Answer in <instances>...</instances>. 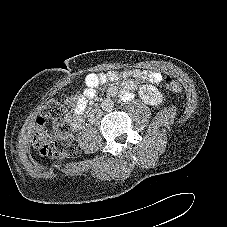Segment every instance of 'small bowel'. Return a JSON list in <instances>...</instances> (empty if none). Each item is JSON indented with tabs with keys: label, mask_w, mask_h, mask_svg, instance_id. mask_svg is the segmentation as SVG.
Listing matches in <instances>:
<instances>
[{
	"label": "small bowel",
	"mask_w": 227,
	"mask_h": 227,
	"mask_svg": "<svg viewBox=\"0 0 227 227\" xmlns=\"http://www.w3.org/2000/svg\"><path fill=\"white\" fill-rule=\"evenodd\" d=\"M132 78L129 81L123 83L120 93L123 99H129L132 96V91L141 81H148L150 83L157 84L162 80L161 73L157 71L148 70H125V71H109L107 73H95L90 72L85 76V88L81 95L77 98L73 113L67 116V121L70 123L74 130L80 128V117L84 113L87 104L90 100L96 96V88L99 86H105L112 82H117L120 79ZM118 89L112 87L109 89L111 95L117 94Z\"/></svg>",
	"instance_id": "obj_1"
}]
</instances>
